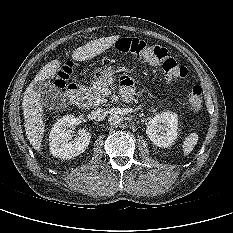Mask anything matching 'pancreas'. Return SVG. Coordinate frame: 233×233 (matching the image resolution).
<instances>
[{
	"label": "pancreas",
	"instance_id": "1",
	"mask_svg": "<svg viewBox=\"0 0 233 233\" xmlns=\"http://www.w3.org/2000/svg\"><path fill=\"white\" fill-rule=\"evenodd\" d=\"M110 84L107 82H98L93 85L91 88L82 87V99L86 100V106H98L107 102V100L102 95V91L105 88H108Z\"/></svg>",
	"mask_w": 233,
	"mask_h": 233
}]
</instances>
